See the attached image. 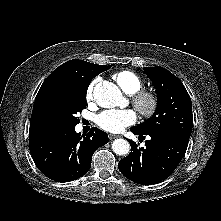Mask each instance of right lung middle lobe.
Masks as SVG:
<instances>
[{"mask_svg":"<svg viewBox=\"0 0 221 221\" xmlns=\"http://www.w3.org/2000/svg\"><path fill=\"white\" fill-rule=\"evenodd\" d=\"M111 66H106L103 71ZM87 88V86L63 85L51 90L38 110V128L46 132L77 125L79 123L77 113L87 105Z\"/></svg>","mask_w":221,"mask_h":221,"instance_id":"dd1d6c3e","label":"right lung middle lobe"}]
</instances>
